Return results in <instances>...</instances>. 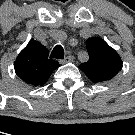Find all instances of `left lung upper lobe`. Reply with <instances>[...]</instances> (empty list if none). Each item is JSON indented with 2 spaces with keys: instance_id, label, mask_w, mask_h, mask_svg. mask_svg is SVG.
<instances>
[{
  "instance_id": "5c2ea615",
  "label": "left lung upper lobe",
  "mask_w": 135,
  "mask_h": 135,
  "mask_svg": "<svg viewBox=\"0 0 135 135\" xmlns=\"http://www.w3.org/2000/svg\"><path fill=\"white\" fill-rule=\"evenodd\" d=\"M86 48L89 60L79 65V68L92 82L109 81L122 69V60L118 53L101 38L87 39Z\"/></svg>"
}]
</instances>
